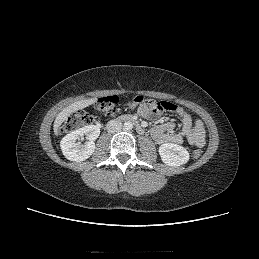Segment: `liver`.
Segmentation results:
<instances>
[{"label": "liver", "mask_w": 259, "mask_h": 259, "mask_svg": "<svg viewBox=\"0 0 259 259\" xmlns=\"http://www.w3.org/2000/svg\"><path fill=\"white\" fill-rule=\"evenodd\" d=\"M96 98L92 99H85V100H80L77 102H74L70 104L68 107L64 108L55 118L54 125H53V130L55 135H58L59 132V127L61 124L66 120L68 116H70L72 113L81 110L83 108H86L96 102Z\"/></svg>", "instance_id": "liver-1"}]
</instances>
